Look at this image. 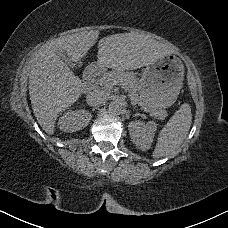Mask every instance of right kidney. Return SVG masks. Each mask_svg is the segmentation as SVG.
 <instances>
[{"label": "right kidney", "instance_id": "ca27d5eb", "mask_svg": "<svg viewBox=\"0 0 228 228\" xmlns=\"http://www.w3.org/2000/svg\"><path fill=\"white\" fill-rule=\"evenodd\" d=\"M91 119V113L85 110H69L59 119L58 126L64 132H75L85 128Z\"/></svg>", "mask_w": 228, "mask_h": 228}]
</instances>
